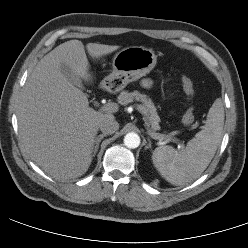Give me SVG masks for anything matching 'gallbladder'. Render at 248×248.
I'll return each instance as SVG.
<instances>
[{
  "instance_id": "gallbladder-1",
  "label": "gallbladder",
  "mask_w": 248,
  "mask_h": 248,
  "mask_svg": "<svg viewBox=\"0 0 248 248\" xmlns=\"http://www.w3.org/2000/svg\"><path fill=\"white\" fill-rule=\"evenodd\" d=\"M61 72L64 74V76L74 85L78 86L79 88H83V84L81 80L73 74L71 69L66 66L62 65L61 66Z\"/></svg>"
}]
</instances>
